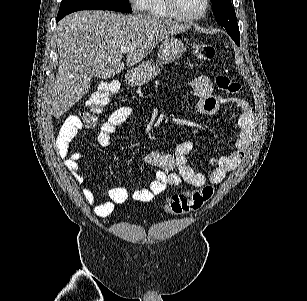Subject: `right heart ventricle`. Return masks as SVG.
<instances>
[{
    "label": "right heart ventricle",
    "instance_id": "obj_1",
    "mask_svg": "<svg viewBox=\"0 0 307 301\" xmlns=\"http://www.w3.org/2000/svg\"><path fill=\"white\" fill-rule=\"evenodd\" d=\"M166 0H140L136 1V8H147L152 17H171V10H164Z\"/></svg>",
    "mask_w": 307,
    "mask_h": 301
}]
</instances>
